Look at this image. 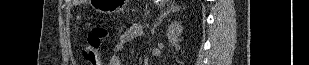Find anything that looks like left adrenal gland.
I'll use <instances>...</instances> for the list:
<instances>
[{"label": "left adrenal gland", "instance_id": "left-adrenal-gland-1", "mask_svg": "<svg viewBox=\"0 0 309 65\" xmlns=\"http://www.w3.org/2000/svg\"><path fill=\"white\" fill-rule=\"evenodd\" d=\"M175 11H177V7H175V6H172V7L168 8V9L166 10V12L163 13L162 16H161L160 18H158L157 22L154 24L153 32H154V30L156 29V27H157L158 25H160V23H161L166 17H168V15H169L171 12L174 13Z\"/></svg>", "mask_w": 309, "mask_h": 65}]
</instances>
